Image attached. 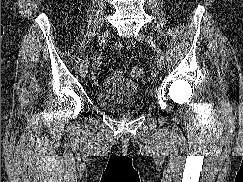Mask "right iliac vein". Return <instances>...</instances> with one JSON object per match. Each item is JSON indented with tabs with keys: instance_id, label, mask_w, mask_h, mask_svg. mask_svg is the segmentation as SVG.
<instances>
[{
	"instance_id": "obj_1",
	"label": "right iliac vein",
	"mask_w": 243,
	"mask_h": 182,
	"mask_svg": "<svg viewBox=\"0 0 243 182\" xmlns=\"http://www.w3.org/2000/svg\"><path fill=\"white\" fill-rule=\"evenodd\" d=\"M110 35V30H105L101 36H99V40H102ZM88 68H89V58L88 56L85 57L80 65V75L82 78H85L88 74Z\"/></svg>"
}]
</instances>
